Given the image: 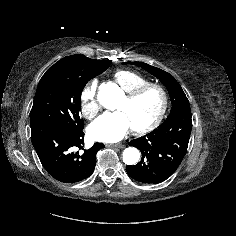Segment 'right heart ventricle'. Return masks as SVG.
<instances>
[{"label":"right heart ventricle","instance_id":"1","mask_svg":"<svg viewBox=\"0 0 236 236\" xmlns=\"http://www.w3.org/2000/svg\"><path fill=\"white\" fill-rule=\"evenodd\" d=\"M114 81L120 86V88L128 92L140 85L149 83V80L138 72L119 69L113 73Z\"/></svg>","mask_w":236,"mask_h":236}]
</instances>
